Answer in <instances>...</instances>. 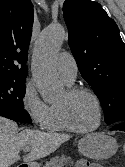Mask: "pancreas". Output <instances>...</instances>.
Masks as SVG:
<instances>
[{"label":"pancreas","instance_id":"1","mask_svg":"<svg viewBox=\"0 0 125 167\" xmlns=\"http://www.w3.org/2000/svg\"><path fill=\"white\" fill-rule=\"evenodd\" d=\"M73 161L70 157L66 156H57L55 158L50 159L43 167H59V166H71Z\"/></svg>","mask_w":125,"mask_h":167}]
</instances>
